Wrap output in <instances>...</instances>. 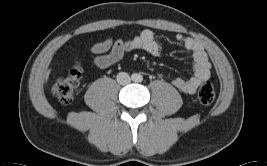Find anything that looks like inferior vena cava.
I'll list each match as a JSON object with an SVG mask.
<instances>
[{"mask_svg":"<svg viewBox=\"0 0 267 166\" xmlns=\"http://www.w3.org/2000/svg\"><path fill=\"white\" fill-rule=\"evenodd\" d=\"M131 79L128 73L126 72H120L117 75V82L121 85H126L130 83Z\"/></svg>","mask_w":267,"mask_h":166,"instance_id":"inferior-vena-cava-1","label":"inferior vena cava"}]
</instances>
